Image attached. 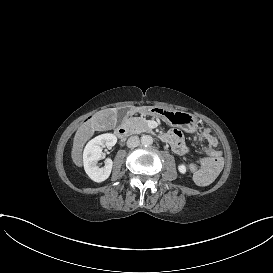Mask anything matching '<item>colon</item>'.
<instances>
[{"instance_id":"obj_1","label":"colon","mask_w":273,"mask_h":273,"mask_svg":"<svg viewBox=\"0 0 273 273\" xmlns=\"http://www.w3.org/2000/svg\"><path fill=\"white\" fill-rule=\"evenodd\" d=\"M221 164V158L219 154H213L209 158H204L201 161V168L204 170L199 174V181L206 185L212 181L218 172Z\"/></svg>"}]
</instances>
